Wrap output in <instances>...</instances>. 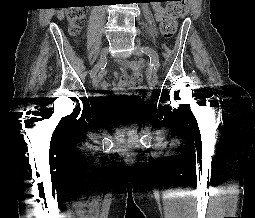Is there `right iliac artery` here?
I'll use <instances>...</instances> for the list:
<instances>
[{
	"label": "right iliac artery",
	"mask_w": 255,
	"mask_h": 218,
	"mask_svg": "<svg viewBox=\"0 0 255 218\" xmlns=\"http://www.w3.org/2000/svg\"><path fill=\"white\" fill-rule=\"evenodd\" d=\"M94 68L91 70V72H90V76L92 77V75L94 74Z\"/></svg>",
	"instance_id": "obj_1"
}]
</instances>
